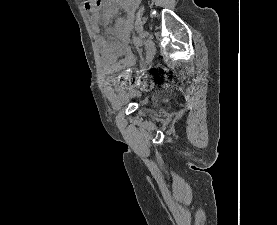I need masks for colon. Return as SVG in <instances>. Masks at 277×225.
<instances>
[{
    "label": "colon",
    "instance_id": "5ec220e1",
    "mask_svg": "<svg viewBox=\"0 0 277 225\" xmlns=\"http://www.w3.org/2000/svg\"><path fill=\"white\" fill-rule=\"evenodd\" d=\"M119 81L124 88L141 85L143 88L149 89L152 86L151 74L147 72L123 70L119 74Z\"/></svg>",
    "mask_w": 277,
    "mask_h": 225
}]
</instances>
